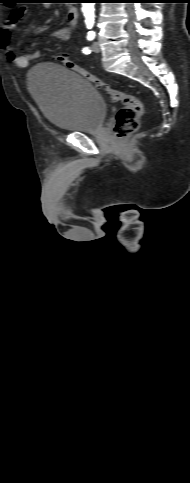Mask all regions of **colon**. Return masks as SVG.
I'll use <instances>...</instances> for the list:
<instances>
[{"label": "colon", "instance_id": "colon-1", "mask_svg": "<svg viewBox=\"0 0 190 483\" xmlns=\"http://www.w3.org/2000/svg\"><path fill=\"white\" fill-rule=\"evenodd\" d=\"M56 59L68 69L81 74L96 88L103 90L112 102L123 104V107L117 113L113 127V132L117 138H125L138 130L144 106L137 96L114 89L90 71L70 60L65 54L59 53Z\"/></svg>", "mask_w": 190, "mask_h": 483}]
</instances>
